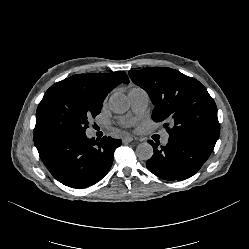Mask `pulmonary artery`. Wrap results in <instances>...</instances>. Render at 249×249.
<instances>
[{
	"label": "pulmonary artery",
	"mask_w": 249,
	"mask_h": 249,
	"mask_svg": "<svg viewBox=\"0 0 249 249\" xmlns=\"http://www.w3.org/2000/svg\"><path fill=\"white\" fill-rule=\"evenodd\" d=\"M129 98L131 101L132 110L135 113L143 112L148 106L149 95L144 89L141 88L131 89L129 91ZM168 139H169V134L167 132H164L162 135V143L167 144Z\"/></svg>",
	"instance_id": "obj_1"
}]
</instances>
